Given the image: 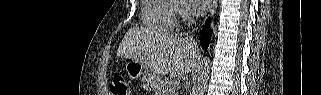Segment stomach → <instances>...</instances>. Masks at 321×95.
I'll return each mask as SVG.
<instances>
[{"label":"stomach","instance_id":"stomach-1","mask_svg":"<svg viewBox=\"0 0 321 95\" xmlns=\"http://www.w3.org/2000/svg\"><path fill=\"white\" fill-rule=\"evenodd\" d=\"M125 71L131 80H139L144 89L152 90L157 85L158 75L136 60L126 62Z\"/></svg>","mask_w":321,"mask_h":95}]
</instances>
